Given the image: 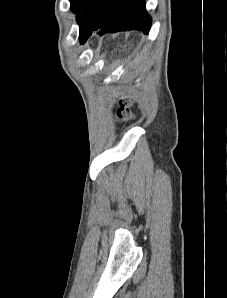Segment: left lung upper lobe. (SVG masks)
Listing matches in <instances>:
<instances>
[{"mask_svg":"<svg viewBox=\"0 0 227 298\" xmlns=\"http://www.w3.org/2000/svg\"><path fill=\"white\" fill-rule=\"evenodd\" d=\"M71 10L77 14L80 40L87 36L99 20L107 0H69Z\"/></svg>","mask_w":227,"mask_h":298,"instance_id":"obj_1","label":"left lung upper lobe"}]
</instances>
